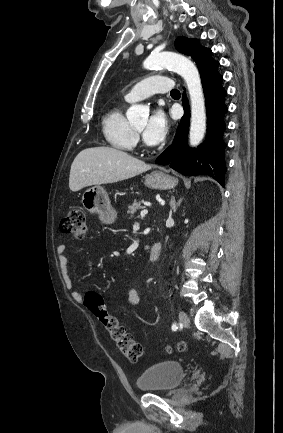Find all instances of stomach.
I'll return each mask as SVG.
<instances>
[{
    "mask_svg": "<svg viewBox=\"0 0 283 433\" xmlns=\"http://www.w3.org/2000/svg\"><path fill=\"white\" fill-rule=\"evenodd\" d=\"M145 184L150 188H160V190H166V188H173L177 184V178L169 176L161 170H154L151 174H147L145 178ZM82 204L89 210V212H97L101 221H111L116 219L117 212L109 200V196L104 190L103 186L95 184L91 188H87L83 192Z\"/></svg>",
    "mask_w": 283,
    "mask_h": 433,
    "instance_id": "obj_1",
    "label": "stomach"
}]
</instances>
